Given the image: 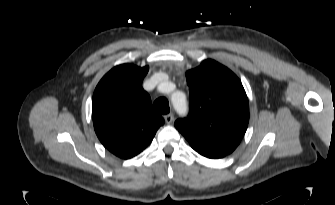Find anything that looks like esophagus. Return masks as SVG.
I'll use <instances>...</instances> for the list:
<instances>
[{
	"label": "esophagus",
	"mask_w": 335,
	"mask_h": 205,
	"mask_svg": "<svg viewBox=\"0 0 335 205\" xmlns=\"http://www.w3.org/2000/svg\"><path fill=\"white\" fill-rule=\"evenodd\" d=\"M164 119L167 124H171L174 120V115L172 113H169L164 116Z\"/></svg>",
	"instance_id": "obj_1"
}]
</instances>
